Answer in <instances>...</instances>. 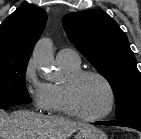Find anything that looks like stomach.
<instances>
[{
	"label": "stomach",
	"mask_w": 141,
	"mask_h": 139,
	"mask_svg": "<svg viewBox=\"0 0 141 139\" xmlns=\"http://www.w3.org/2000/svg\"><path fill=\"white\" fill-rule=\"evenodd\" d=\"M75 139H107V136L99 128L88 125L78 131Z\"/></svg>",
	"instance_id": "0dacf381"
}]
</instances>
